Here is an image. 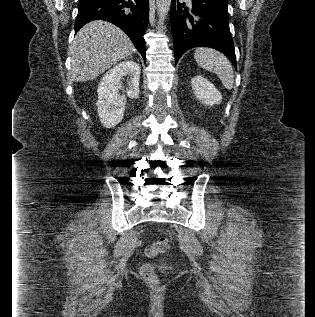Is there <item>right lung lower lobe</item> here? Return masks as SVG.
I'll return each instance as SVG.
<instances>
[{
	"mask_svg": "<svg viewBox=\"0 0 315 317\" xmlns=\"http://www.w3.org/2000/svg\"><path fill=\"white\" fill-rule=\"evenodd\" d=\"M75 32L93 20H105L121 28L143 59L146 46L143 35L149 20V0H80Z\"/></svg>",
	"mask_w": 315,
	"mask_h": 317,
	"instance_id": "obj_1",
	"label": "right lung lower lobe"
}]
</instances>
